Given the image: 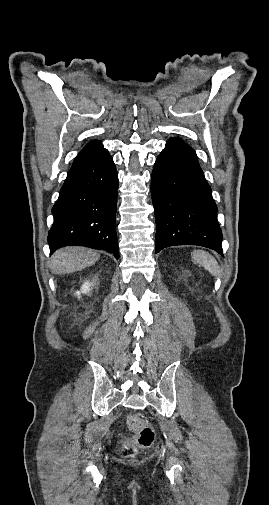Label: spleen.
Segmentation results:
<instances>
[{"instance_id":"spleen-1","label":"spleen","mask_w":269,"mask_h":505,"mask_svg":"<svg viewBox=\"0 0 269 505\" xmlns=\"http://www.w3.org/2000/svg\"><path fill=\"white\" fill-rule=\"evenodd\" d=\"M192 259L210 272L213 276H218L220 267L216 259L208 252L203 250H194L191 253Z\"/></svg>"}]
</instances>
